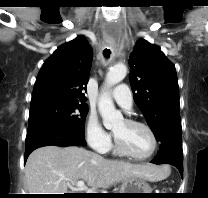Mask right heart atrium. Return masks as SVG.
<instances>
[{"mask_svg":"<svg viewBox=\"0 0 208 198\" xmlns=\"http://www.w3.org/2000/svg\"><path fill=\"white\" fill-rule=\"evenodd\" d=\"M85 134L87 143L95 151L106 153L109 150L111 146V138L93 114H90L87 118Z\"/></svg>","mask_w":208,"mask_h":198,"instance_id":"d8ad5b80","label":"right heart atrium"}]
</instances>
